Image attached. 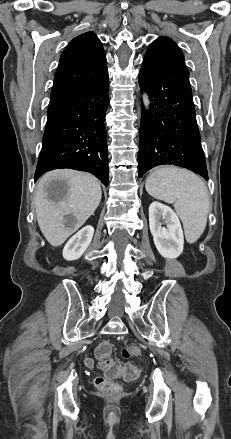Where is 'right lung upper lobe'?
<instances>
[{
  "mask_svg": "<svg viewBox=\"0 0 231 439\" xmlns=\"http://www.w3.org/2000/svg\"><path fill=\"white\" fill-rule=\"evenodd\" d=\"M107 73L106 56L96 35L87 32L75 37L61 54L50 103L99 81Z\"/></svg>",
  "mask_w": 231,
  "mask_h": 439,
  "instance_id": "1",
  "label": "right lung upper lobe"
}]
</instances>
